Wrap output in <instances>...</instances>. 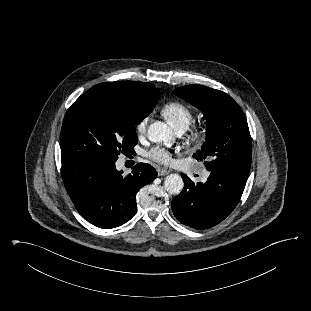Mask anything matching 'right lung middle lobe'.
I'll return each mask as SVG.
<instances>
[{
  "mask_svg": "<svg viewBox=\"0 0 311 311\" xmlns=\"http://www.w3.org/2000/svg\"><path fill=\"white\" fill-rule=\"evenodd\" d=\"M160 91L141 95L115 83H101L68 109L61 130V161L116 162L134 151L135 125L155 107Z\"/></svg>",
  "mask_w": 311,
  "mask_h": 311,
  "instance_id": "1",
  "label": "right lung middle lobe"
}]
</instances>
